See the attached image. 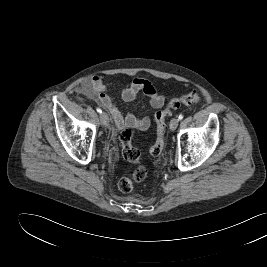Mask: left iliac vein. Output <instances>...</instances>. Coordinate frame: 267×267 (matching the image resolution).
Listing matches in <instances>:
<instances>
[{"label": "left iliac vein", "instance_id": "obj_1", "mask_svg": "<svg viewBox=\"0 0 267 267\" xmlns=\"http://www.w3.org/2000/svg\"><path fill=\"white\" fill-rule=\"evenodd\" d=\"M178 124H179V120L177 118H173L171 121H170V130L171 131H174L176 130V128L178 127Z\"/></svg>", "mask_w": 267, "mask_h": 267}]
</instances>
